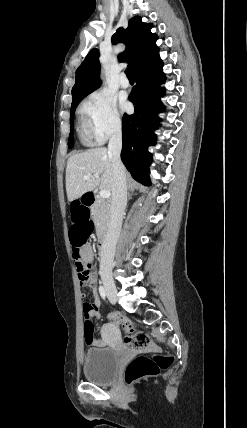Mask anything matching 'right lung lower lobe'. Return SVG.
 <instances>
[{"label": "right lung lower lobe", "instance_id": "obj_1", "mask_svg": "<svg viewBox=\"0 0 247 428\" xmlns=\"http://www.w3.org/2000/svg\"><path fill=\"white\" fill-rule=\"evenodd\" d=\"M136 85L129 100L135 105L134 114H124L122 120L123 147L121 159L132 177L142 184H150L149 165L152 161L148 146L154 145L163 111L161 97L165 89L163 62L160 58L134 73Z\"/></svg>", "mask_w": 247, "mask_h": 428}]
</instances>
